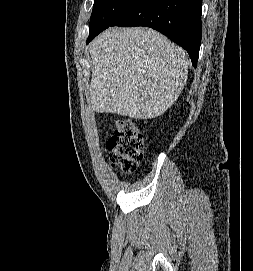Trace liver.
Wrapping results in <instances>:
<instances>
[{"label": "liver", "instance_id": "6515ba94", "mask_svg": "<svg viewBox=\"0 0 253 271\" xmlns=\"http://www.w3.org/2000/svg\"><path fill=\"white\" fill-rule=\"evenodd\" d=\"M89 101L98 113L153 119L177 100L188 77L187 53L148 28H109L90 44Z\"/></svg>", "mask_w": 253, "mask_h": 271}]
</instances>
